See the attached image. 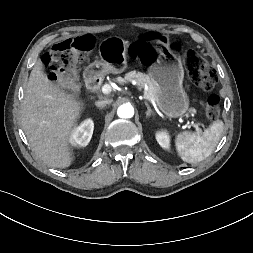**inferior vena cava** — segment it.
<instances>
[{
    "label": "inferior vena cava",
    "mask_w": 253,
    "mask_h": 253,
    "mask_svg": "<svg viewBox=\"0 0 253 253\" xmlns=\"http://www.w3.org/2000/svg\"><path fill=\"white\" fill-rule=\"evenodd\" d=\"M112 101H113L112 99H104V100H100V101L95 102V105L105 107L106 105L111 104Z\"/></svg>",
    "instance_id": "602c4592"
}]
</instances>
